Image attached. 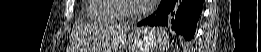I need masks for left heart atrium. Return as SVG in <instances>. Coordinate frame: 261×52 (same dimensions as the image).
<instances>
[{"instance_id":"1","label":"left heart atrium","mask_w":261,"mask_h":52,"mask_svg":"<svg viewBox=\"0 0 261 52\" xmlns=\"http://www.w3.org/2000/svg\"><path fill=\"white\" fill-rule=\"evenodd\" d=\"M136 2L143 7H149L150 5L155 4L156 0H137Z\"/></svg>"}]
</instances>
